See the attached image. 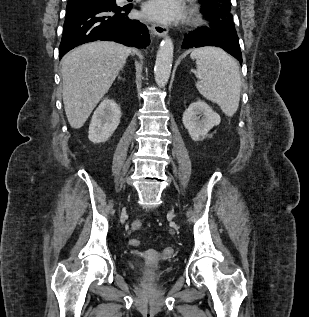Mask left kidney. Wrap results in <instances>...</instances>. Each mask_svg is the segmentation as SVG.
Masks as SVG:
<instances>
[{
  "label": "left kidney",
  "instance_id": "left-kidney-1",
  "mask_svg": "<svg viewBox=\"0 0 309 317\" xmlns=\"http://www.w3.org/2000/svg\"><path fill=\"white\" fill-rule=\"evenodd\" d=\"M200 116H203L200 119ZM184 127L194 141L203 140L208 132L220 124V116L207 103L198 100L189 105L182 117Z\"/></svg>",
  "mask_w": 309,
  "mask_h": 317
}]
</instances>
